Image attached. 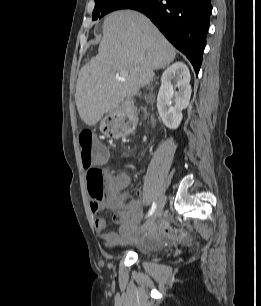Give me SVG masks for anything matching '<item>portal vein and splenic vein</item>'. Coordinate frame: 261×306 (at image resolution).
I'll use <instances>...</instances> for the list:
<instances>
[{"label":"portal vein and splenic vein","instance_id":"portal-vein-and-splenic-vein-1","mask_svg":"<svg viewBox=\"0 0 261 306\" xmlns=\"http://www.w3.org/2000/svg\"><path fill=\"white\" fill-rule=\"evenodd\" d=\"M127 76H128L127 72H121L120 75H117V79L125 82Z\"/></svg>","mask_w":261,"mask_h":306}]
</instances>
